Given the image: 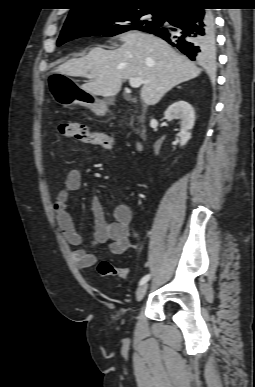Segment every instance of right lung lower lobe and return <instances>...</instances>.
Instances as JSON below:
<instances>
[{
  "mask_svg": "<svg viewBox=\"0 0 255 387\" xmlns=\"http://www.w3.org/2000/svg\"><path fill=\"white\" fill-rule=\"evenodd\" d=\"M165 25L149 27L153 33L177 47L191 60L211 63L215 58L214 19L204 4L195 0L165 10Z\"/></svg>",
  "mask_w": 255,
  "mask_h": 387,
  "instance_id": "right-lung-lower-lobe-1",
  "label": "right lung lower lobe"
}]
</instances>
